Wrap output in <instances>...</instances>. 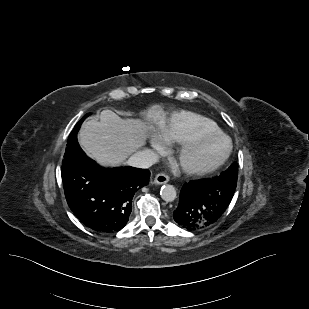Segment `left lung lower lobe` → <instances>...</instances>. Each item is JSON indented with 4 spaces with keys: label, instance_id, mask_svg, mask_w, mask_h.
<instances>
[{
    "label": "left lung lower lobe",
    "instance_id": "obj_1",
    "mask_svg": "<svg viewBox=\"0 0 309 309\" xmlns=\"http://www.w3.org/2000/svg\"><path fill=\"white\" fill-rule=\"evenodd\" d=\"M236 186L237 180L226 176L185 183L174 220L189 231L215 224L229 206Z\"/></svg>",
    "mask_w": 309,
    "mask_h": 309
}]
</instances>
